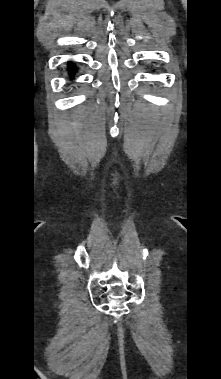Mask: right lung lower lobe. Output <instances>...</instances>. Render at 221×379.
<instances>
[{"label":"right lung lower lobe","instance_id":"obj_1","mask_svg":"<svg viewBox=\"0 0 221 379\" xmlns=\"http://www.w3.org/2000/svg\"><path fill=\"white\" fill-rule=\"evenodd\" d=\"M75 70V68H73L71 65H70V71L73 72Z\"/></svg>","mask_w":221,"mask_h":379}]
</instances>
